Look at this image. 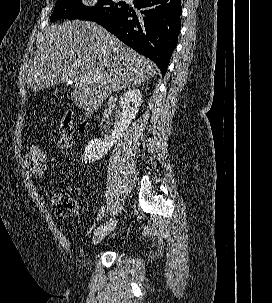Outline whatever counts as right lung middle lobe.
<instances>
[{
  "instance_id": "dd1d6c3e",
  "label": "right lung middle lobe",
  "mask_w": 272,
  "mask_h": 303,
  "mask_svg": "<svg viewBox=\"0 0 272 303\" xmlns=\"http://www.w3.org/2000/svg\"><path fill=\"white\" fill-rule=\"evenodd\" d=\"M125 8L123 3L115 4L112 0H98L94 7L84 6L81 0H57L50 21L66 18L96 22L113 17Z\"/></svg>"
}]
</instances>
